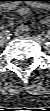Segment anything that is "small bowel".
Wrapping results in <instances>:
<instances>
[{
	"mask_svg": "<svg viewBox=\"0 0 50 111\" xmlns=\"http://www.w3.org/2000/svg\"><path fill=\"white\" fill-rule=\"evenodd\" d=\"M15 10L20 15H25V14L29 13V9L25 6H18L15 8ZM46 22H47V19L43 21V23H46ZM28 29H29V27L27 24H22L16 29V34L21 35V34L27 32Z\"/></svg>",
	"mask_w": 50,
	"mask_h": 111,
	"instance_id": "1",
	"label": "small bowel"
}]
</instances>
